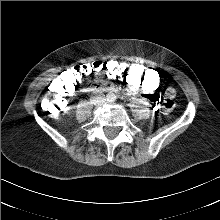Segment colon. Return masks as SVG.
Masks as SVG:
<instances>
[{
  "mask_svg": "<svg viewBox=\"0 0 220 220\" xmlns=\"http://www.w3.org/2000/svg\"><path fill=\"white\" fill-rule=\"evenodd\" d=\"M106 76L111 79L125 80L130 87L151 93L147 95V99L151 102L148 110L152 116L163 118L173 109L174 90L172 88H166L163 93H152L160 89L163 84L161 75L153 66L120 60H111L106 64L97 61L66 70L47 87L41 99L42 107L49 115L58 114L63 110L66 98L70 93L77 92L83 81L86 85L102 86Z\"/></svg>",
  "mask_w": 220,
  "mask_h": 220,
  "instance_id": "5ec220e1",
  "label": "colon"
}]
</instances>
